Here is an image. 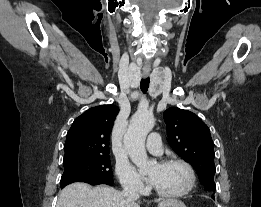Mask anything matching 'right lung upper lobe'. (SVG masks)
<instances>
[{
	"mask_svg": "<svg viewBox=\"0 0 261 207\" xmlns=\"http://www.w3.org/2000/svg\"><path fill=\"white\" fill-rule=\"evenodd\" d=\"M118 112L115 105H101L77 117L67 133L64 161L109 155V137Z\"/></svg>",
	"mask_w": 261,
	"mask_h": 207,
	"instance_id": "cb5924a9",
	"label": "right lung upper lobe"
}]
</instances>
